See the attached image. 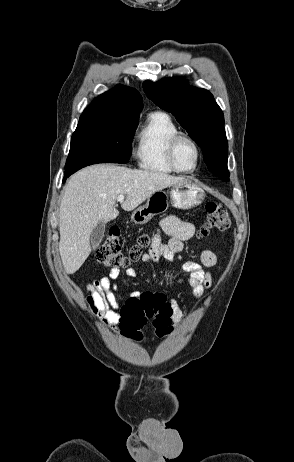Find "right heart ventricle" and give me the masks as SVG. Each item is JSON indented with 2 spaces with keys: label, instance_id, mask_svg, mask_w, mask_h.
<instances>
[{
  "label": "right heart ventricle",
  "instance_id": "1",
  "mask_svg": "<svg viewBox=\"0 0 294 462\" xmlns=\"http://www.w3.org/2000/svg\"><path fill=\"white\" fill-rule=\"evenodd\" d=\"M179 132L176 123L166 112L150 113L137 134L136 158L139 167L151 173H173L167 160V146Z\"/></svg>",
  "mask_w": 294,
  "mask_h": 462
}]
</instances>
